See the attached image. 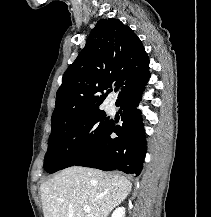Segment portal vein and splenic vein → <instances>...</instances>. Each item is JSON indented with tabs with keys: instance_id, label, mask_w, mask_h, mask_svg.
<instances>
[{
	"instance_id": "obj_1",
	"label": "portal vein and splenic vein",
	"mask_w": 211,
	"mask_h": 217,
	"mask_svg": "<svg viewBox=\"0 0 211 217\" xmlns=\"http://www.w3.org/2000/svg\"><path fill=\"white\" fill-rule=\"evenodd\" d=\"M84 211H85L86 213H90V212H91V209H90L89 206H85V207H84Z\"/></svg>"
}]
</instances>
